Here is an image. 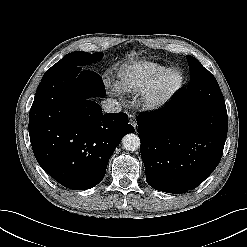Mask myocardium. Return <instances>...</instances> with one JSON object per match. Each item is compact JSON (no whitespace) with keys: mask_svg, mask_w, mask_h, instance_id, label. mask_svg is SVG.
Returning <instances> with one entry per match:
<instances>
[{"mask_svg":"<svg viewBox=\"0 0 247 247\" xmlns=\"http://www.w3.org/2000/svg\"><path fill=\"white\" fill-rule=\"evenodd\" d=\"M183 82L184 76L179 69L171 68L163 71L143 93L146 106L153 109L164 107L180 91Z\"/></svg>","mask_w":247,"mask_h":247,"instance_id":"myocardium-1","label":"myocardium"}]
</instances>
